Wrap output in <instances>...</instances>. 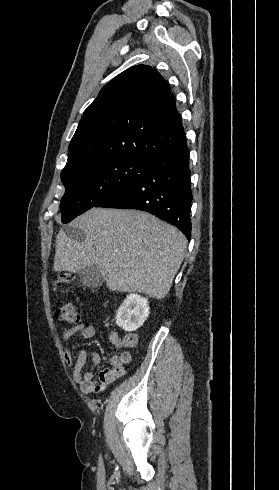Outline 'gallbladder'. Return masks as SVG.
I'll return each mask as SVG.
<instances>
[{
    "mask_svg": "<svg viewBox=\"0 0 279 490\" xmlns=\"http://www.w3.org/2000/svg\"><path fill=\"white\" fill-rule=\"evenodd\" d=\"M78 276L82 286L87 288H100L105 282L99 266H87L78 272Z\"/></svg>",
    "mask_w": 279,
    "mask_h": 490,
    "instance_id": "obj_1",
    "label": "gallbladder"
}]
</instances>
